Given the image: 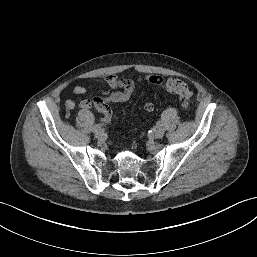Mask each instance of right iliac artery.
Here are the masks:
<instances>
[{"instance_id":"82829eb1","label":"right iliac artery","mask_w":257,"mask_h":257,"mask_svg":"<svg viewBox=\"0 0 257 257\" xmlns=\"http://www.w3.org/2000/svg\"><path fill=\"white\" fill-rule=\"evenodd\" d=\"M102 127V124H95L93 127H92V131L95 133L96 131H98L99 129H101Z\"/></svg>"}]
</instances>
